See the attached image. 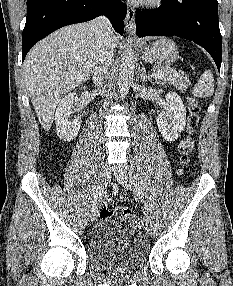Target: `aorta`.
Instances as JSON below:
<instances>
[{"label":"aorta","instance_id":"aorta-1","mask_svg":"<svg viewBox=\"0 0 233 286\" xmlns=\"http://www.w3.org/2000/svg\"><path fill=\"white\" fill-rule=\"evenodd\" d=\"M132 43L133 39L131 37L128 38L120 63L118 85L122 100L127 96L134 77L136 58L132 48Z\"/></svg>","mask_w":233,"mask_h":286}]
</instances>
